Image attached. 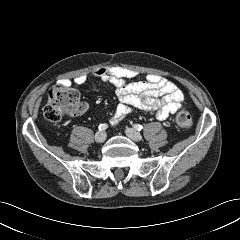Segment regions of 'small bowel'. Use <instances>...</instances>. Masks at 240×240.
Here are the masks:
<instances>
[{
  "mask_svg": "<svg viewBox=\"0 0 240 240\" xmlns=\"http://www.w3.org/2000/svg\"><path fill=\"white\" fill-rule=\"evenodd\" d=\"M137 72L118 66L95 69L90 77L109 83L115 87L119 104L110 118L112 125H117L134 110L154 112L159 120H165L182 107L183 92L175 83L159 75H149L143 81H133ZM88 76L80 75L73 80L64 78L60 84L70 86L72 83L83 85ZM84 106L76 112H82Z\"/></svg>",
  "mask_w": 240,
  "mask_h": 240,
  "instance_id": "1",
  "label": "small bowel"
}]
</instances>
